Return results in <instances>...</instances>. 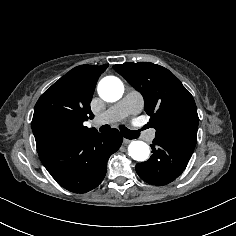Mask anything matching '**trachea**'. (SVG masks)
I'll use <instances>...</instances> for the list:
<instances>
[{
  "label": "trachea",
  "mask_w": 236,
  "mask_h": 236,
  "mask_svg": "<svg viewBox=\"0 0 236 236\" xmlns=\"http://www.w3.org/2000/svg\"><path fill=\"white\" fill-rule=\"evenodd\" d=\"M110 125H103L99 128V131L102 133H107L110 130ZM120 131L123 134V136L127 139H134L138 137L137 131H132L127 129L124 125H120Z\"/></svg>",
  "instance_id": "obj_1"
}]
</instances>
